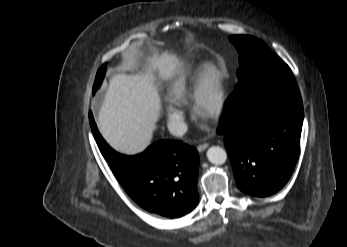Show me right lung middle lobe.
I'll return each mask as SVG.
<instances>
[{
  "mask_svg": "<svg viewBox=\"0 0 347 247\" xmlns=\"http://www.w3.org/2000/svg\"><path fill=\"white\" fill-rule=\"evenodd\" d=\"M105 65H106V64H104V65L101 67V69H100L101 71L98 72L100 78H99L98 80H95V84H94V88H93L94 92L99 88V86H100V84H101V82H102V79H103L104 74H105Z\"/></svg>",
  "mask_w": 347,
  "mask_h": 247,
  "instance_id": "1",
  "label": "right lung middle lobe"
}]
</instances>
